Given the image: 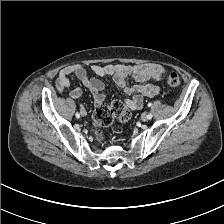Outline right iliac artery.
<instances>
[{
	"instance_id": "right-iliac-artery-1",
	"label": "right iliac artery",
	"mask_w": 224,
	"mask_h": 224,
	"mask_svg": "<svg viewBox=\"0 0 224 224\" xmlns=\"http://www.w3.org/2000/svg\"><path fill=\"white\" fill-rule=\"evenodd\" d=\"M76 118H80V113L79 112L76 113Z\"/></svg>"
}]
</instances>
